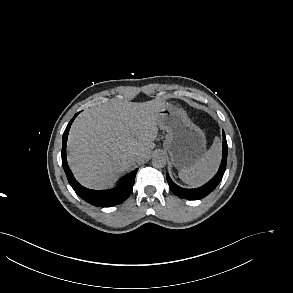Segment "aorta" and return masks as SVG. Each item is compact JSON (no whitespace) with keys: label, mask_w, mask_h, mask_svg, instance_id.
Returning <instances> with one entry per match:
<instances>
[{"label":"aorta","mask_w":293,"mask_h":293,"mask_svg":"<svg viewBox=\"0 0 293 293\" xmlns=\"http://www.w3.org/2000/svg\"><path fill=\"white\" fill-rule=\"evenodd\" d=\"M152 165L156 168H162L166 165V157L163 155H155L152 158Z\"/></svg>","instance_id":"1"}]
</instances>
